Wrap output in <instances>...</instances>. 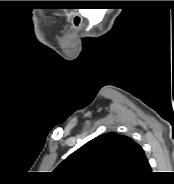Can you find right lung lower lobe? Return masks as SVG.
<instances>
[{
	"mask_svg": "<svg viewBox=\"0 0 174 184\" xmlns=\"http://www.w3.org/2000/svg\"><path fill=\"white\" fill-rule=\"evenodd\" d=\"M151 174V168L149 163L144 167V169L139 172L134 178L125 181L121 184H143L146 183V178Z\"/></svg>",
	"mask_w": 174,
	"mask_h": 184,
	"instance_id": "obj_1",
	"label": "right lung lower lobe"
}]
</instances>
